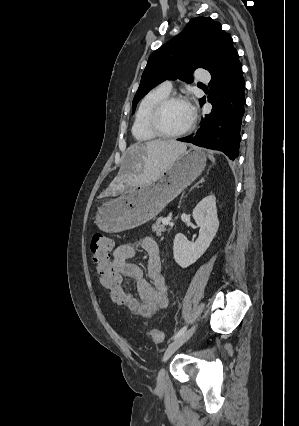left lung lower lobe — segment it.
I'll return each instance as SVG.
<instances>
[{
  "label": "left lung lower lobe",
  "mask_w": 299,
  "mask_h": 426,
  "mask_svg": "<svg viewBox=\"0 0 299 426\" xmlns=\"http://www.w3.org/2000/svg\"><path fill=\"white\" fill-rule=\"evenodd\" d=\"M209 72L211 93L208 101L213 105V110L203 117L202 126L196 134L179 138L178 141L222 151L234 160L239 155L245 105V82L237 51L227 53ZM205 102L203 97L201 104Z\"/></svg>",
  "instance_id": "1"
}]
</instances>
